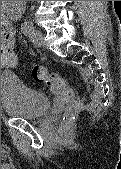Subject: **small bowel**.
Here are the masks:
<instances>
[{"instance_id":"1","label":"small bowel","mask_w":121,"mask_h":169,"mask_svg":"<svg viewBox=\"0 0 121 169\" xmlns=\"http://www.w3.org/2000/svg\"><path fill=\"white\" fill-rule=\"evenodd\" d=\"M23 10L22 1H7L2 9L1 27H2V43L9 42L15 44L13 24L17 21ZM8 35V36H7ZM3 65H5L1 59Z\"/></svg>"}]
</instances>
